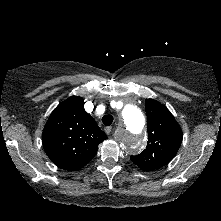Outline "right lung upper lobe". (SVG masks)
<instances>
[{
  "label": "right lung upper lobe",
  "mask_w": 221,
  "mask_h": 221,
  "mask_svg": "<svg viewBox=\"0 0 221 221\" xmlns=\"http://www.w3.org/2000/svg\"><path fill=\"white\" fill-rule=\"evenodd\" d=\"M107 135L85 111L84 100L71 96L51 113L42 133L43 147L59 168L76 171L93 159Z\"/></svg>",
  "instance_id": "cb5924a9"
}]
</instances>
